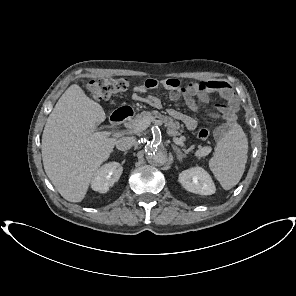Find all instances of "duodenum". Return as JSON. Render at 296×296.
I'll return each instance as SVG.
<instances>
[{"instance_id":"1","label":"duodenum","mask_w":296,"mask_h":296,"mask_svg":"<svg viewBox=\"0 0 296 296\" xmlns=\"http://www.w3.org/2000/svg\"><path fill=\"white\" fill-rule=\"evenodd\" d=\"M133 115V110L131 108H123L115 111L111 117L110 122L113 126H117L130 118Z\"/></svg>"}]
</instances>
